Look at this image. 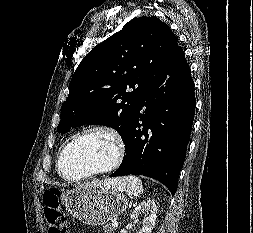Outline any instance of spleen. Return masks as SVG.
<instances>
[{"label":"spleen","instance_id":"1","mask_svg":"<svg viewBox=\"0 0 253 233\" xmlns=\"http://www.w3.org/2000/svg\"><path fill=\"white\" fill-rule=\"evenodd\" d=\"M109 188L127 192L129 195L140 196L143 193V185L140 178L136 176H126L116 179H109Z\"/></svg>","mask_w":253,"mask_h":233}]
</instances>
